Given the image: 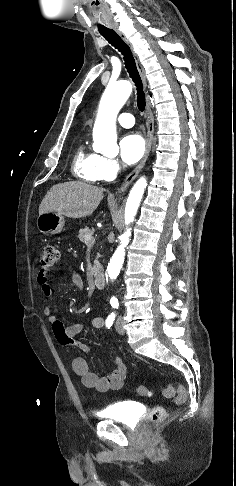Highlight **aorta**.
<instances>
[{
  "label": "aorta",
  "instance_id": "762f6f07",
  "mask_svg": "<svg viewBox=\"0 0 236 486\" xmlns=\"http://www.w3.org/2000/svg\"><path fill=\"white\" fill-rule=\"evenodd\" d=\"M132 92V85L128 81L109 83L101 97L97 118L93 127V149L104 155L118 152L116 117ZM147 186V181L141 177L132 187L125 207V224L129 225L137 211ZM130 229L120 236V245L108 264V275L115 280L122 268L125 256V247L129 243Z\"/></svg>",
  "mask_w": 236,
  "mask_h": 486
}]
</instances>
